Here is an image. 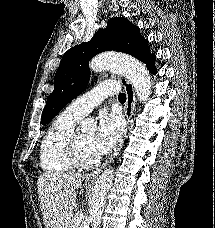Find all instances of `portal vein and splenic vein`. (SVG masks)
Returning <instances> with one entry per match:
<instances>
[{
  "mask_svg": "<svg viewBox=\"0 0 215 228\" xmlns=\"http://www.w3.org/2000/svg\"><path fill=\"white\" fill-rule=\"evenodd\" d=\"M74 220H75V222H76V220H78V222H83L84 214H82V212H78V214H76V216H74Z\"/></svg>",
  "mask_w": 215,
  "mask_h": 228,
  "instance_id": "1",
  "label": "portal vein and splenic vein"
}]
</instances>
